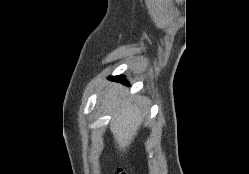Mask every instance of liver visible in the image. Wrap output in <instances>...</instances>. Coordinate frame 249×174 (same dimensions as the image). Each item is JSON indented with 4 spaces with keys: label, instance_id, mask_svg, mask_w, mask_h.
Segmentation results:
<instances>
[{
    "label": "liver",
    "instance_id": "1",
    "mask_svg": "<svg viewBox=\"0 0 249 174\" xmlns=\"http://www.w3.org/2000/svg\"><path fill=\"white\" fill-rule=\"evenodd\" d=\"M103 104L113 115L110 130L117 148L119 151L125 152L140 129L144 113L136 104H131L125 98L122 99L119 87L116 85H110L105 90Z\"/></svg>",
    "mask_w": 249,
    "mask_h": 174
}]
</instances>
